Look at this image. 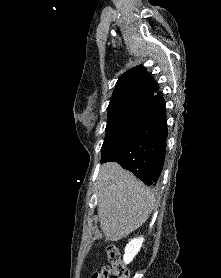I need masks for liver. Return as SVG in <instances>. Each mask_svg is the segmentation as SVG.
Returning a JSON list of instances; mask_svg holds the SVG:
<instances>
[{
  "mask_svg": "<svg viewBox=\"0 0 221 278\" xmlns=\"http://www.w3.org/2000/svg\"><path fill=\"white\" fill-rule=\"evenodd\" d=\"M98 179L100 228L106 241H117L146 222L153 210L154 195L115 162L102 165Z\"/></svg>",
  "mask_w": 221,
  "mask_h": 278,
  "instance_id": "liver-1",
  "label": "liver"
}]
</instances>
